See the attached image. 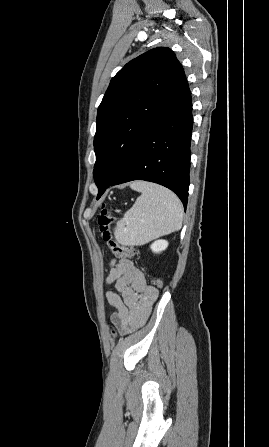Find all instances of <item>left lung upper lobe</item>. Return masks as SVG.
<instances>
[{"label": "left lung upper lobe", "instance_id": "1", "mask_svg": "<svg viewBox=\"0 0 269 447\" xmlns=\"http://www.w3.org/2000/svg\"><path fill=\"white\" fill-rule=\"evenodd\" d=\"M182 72L173 51L160 47L133 59L112 78L96 121L93 176L98 188L119 176L146 132L164 115Z\"/></svg>", "mask_w": 269, "mask_h": 447}]
</instances>
